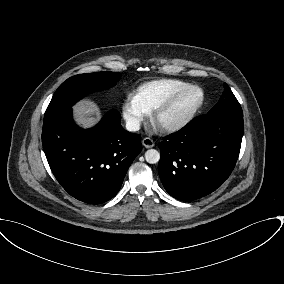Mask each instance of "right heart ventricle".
Instances as JSON below:
<instances>
[{
  "label": "right heart ventricle",
  "mask_w": 284,
  "mask_h": 284,
  "mask_svg": "<svg viewBox=\"0 0 284 284\" xmlns=\"http://www.w3.org/2000/svg\"><path fill=\"white\" fill-rule=\"evenodd\" d=\"M188 85L190 84L177 79L152 80L137 88L135 98L147 113H151L170 96Z\"/></svg>",
  "instance_id": "1"
}]
</instances>
